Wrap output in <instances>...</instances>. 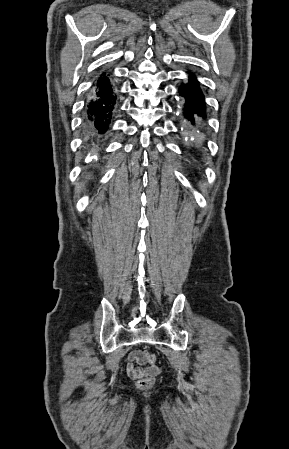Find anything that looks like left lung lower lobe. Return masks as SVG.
Instances as JSON below:
<instances>
[{
    "instance_id": "obj_1",
    "label": "left lung lower lobe",
    "mask_w": 289,
    "mask_h": 449,
    "mask_svg": "<svg viewBox=\"0 0 289 449\" xmlns=\"http://www.w3.org/2000/svg\"><path fill=\"white\" fill-rule=\"evenodd\" d=\"M179 93L186 101L184 104V118L194 126L200 120L199 118H205L206 107L204 95L193 75L189 77L188 84L179 88Z\"/></svg>"
}]
</instances>
